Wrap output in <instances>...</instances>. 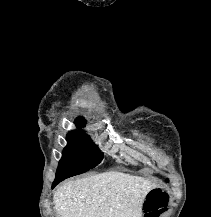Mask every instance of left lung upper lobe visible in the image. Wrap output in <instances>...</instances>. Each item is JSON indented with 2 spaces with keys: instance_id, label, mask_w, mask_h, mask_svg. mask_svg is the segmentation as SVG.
Returning a JSON list of instances; mask_svg holds the SVG:
<instances>
[{
  "instance_id": "obj_1",
  "label": "left lung upper lobe",
  "mask_w": 211,
  "mask_h": 217,
  "mask_svg": "<svg viewBox=\"0 0 211 217\" xmlns=\"http://www.w3.org/2000/svg\"><path fill=\"white\" fill-rule=\"evenodd\" d=\"M166 182H169V180H168V179H166Z\"/></svg>"
}]
</instances>
